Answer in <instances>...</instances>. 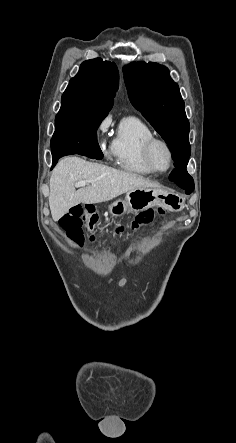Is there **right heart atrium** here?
Instances as JSON below:
<instances>
[{
    "mask_svg": "<svg viewBox=\"0 0 236 443\" xmlns=\"http://www.w3.org/2000/svg\"><path fill=\"white\" fill-rule=\"evenodd\" d=\"M111 122L110 115L105 116L98 124L96 130H95V139L100 147V149L105 153L108 154V152L105 149V133L108 130V127Z\"/></svg>",
    "mask_w": 236,
    "mask_h": 443,
    "instance_id": "1",
    "label": "right heart atrium"
}]
</instances>
